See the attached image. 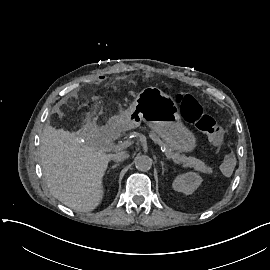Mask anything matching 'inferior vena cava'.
<instances>
[{
    "label": "inferior vena cava",
    "instance_id": "1",
    "mask_svg": "<svg viewBox=\"0 0 270 270\" xmlns=\"http://www.w3.org/2000/svg\"><path fill=\"white\" fill-rule=\"evenodd\" d=\"M129 157L128 153L126 151H121L119 153L112 155V160L114 162H121Z\"/></svg>",
    "mask_w": 270,
    "mask_h": 270
}]
</instances>
